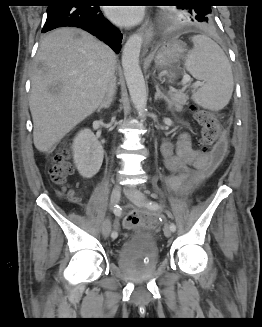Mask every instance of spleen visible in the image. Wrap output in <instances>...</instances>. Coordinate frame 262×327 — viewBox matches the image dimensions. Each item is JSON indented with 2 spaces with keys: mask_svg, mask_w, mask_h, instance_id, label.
<instances>
[{
  "mask_svg": "<svg viewBox=\"0 0 262 327\" xmlns=\"http://www.w3.org/2000/svg\"><path fill=\"white\" fill-rule=\"evenodd\" d=\"M193 49L185 58L186 70L204 85L193 92V101L205 109L219 111L233 92L231 65L223 50L206 35L192 37Z\"/></svg>",
  "mask_w": 262,
  "mask_h": 327,
  "instance_id": "1",
  "label": "spleen"
}]
</instances>
